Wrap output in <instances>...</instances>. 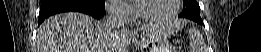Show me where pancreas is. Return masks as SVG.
<instances>
[{"label":"pancreas","mask_w":261,"mask_h":52,"mask_svg":"<svg viewBox=\"0 0 261 52\" xmlns=\"http://www.w3.org/2000/svg\"><path fill=\"white\" fill-rule=\"evenodd\" d=\"M169 49H170V52H173V50H174L173 48H170V47H169Z\"/></svg>","instance_id":"pancreas-1"}]
</instances>
